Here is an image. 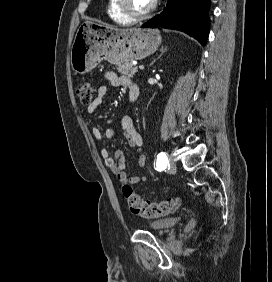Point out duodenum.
Listing matches in <instances>:
<instances>
[{
    "label": "duodenum",
    "instance_id": "1",
    "mask_svg": "<svg viewBox=\"0 0 272 282\" xmlns=\"http://www.w3.org/2000/svg\"><path fill=\"white\" fill-rule=\"evenodd\" d=\"M139 96V87L136 84L129 86V101L135 102Z\"/></svg>",
    "mask_w": 272,
    "mask_h": 282
}]
</instances>
